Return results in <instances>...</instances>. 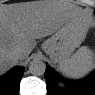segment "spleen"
<instances>
[{"label":"spleen","instance_id":"obj_1","mask_svg":"<svg viewBox=\"0 0 95 95\" xmlns=\"http://www.w3.org/2000/svg\"><path fill=\"white\" fill-rule=\"evenodd\" d=\"M94 55L87 46L79 48L71 57L59 62V70L68 78L79 79L94 67Z\"/></svg>","mask_w":95,"mask_h":95}]
</instances>
